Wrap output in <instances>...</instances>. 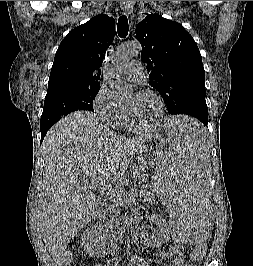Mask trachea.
<instances>
[{
  "label": "trachea",
  "mask_w": 253,
  "mask_h": 266,
  "mask_svg": "<svg viewBox=\"0 0 253 266\" xmlns=\"http://www.w3.org/2000/svg\"><path fill=\"white\" fill-rule=\"evenodd\" d=\"M129 25L127 16L122 15L118 19L117 32L121 38H125L128 35Z\"/></svg>",
  "instance_id": "3493384b"
}]
</instances>
